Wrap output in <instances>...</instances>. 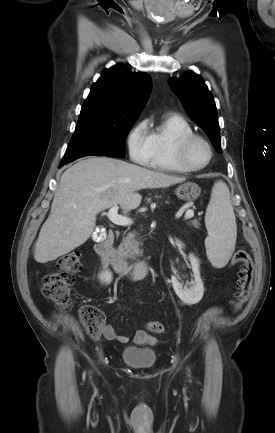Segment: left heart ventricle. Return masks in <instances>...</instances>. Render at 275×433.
Instances as JSON below:
<instances>
[{"instance_id": "obj_1", "label": "left heart ventricle", "mask_w": 275, "mask_h": 433, "mask_svg": "<svg viewBox=\"0 0 275 433\" xmlns=\"http://www.w3.org/2000/svg\"><path fill=\"white\" fill-rule=\"evenodd\" d=\"M188 158L196 165L205 163L209 158L207 147L202 142H194L189 148Z\"/></svg>"}]
</instances>
